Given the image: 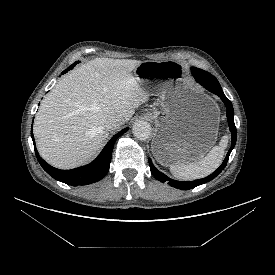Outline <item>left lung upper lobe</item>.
I'll return each mask as SVG.
<instances>
[{
	"label": "left lung upper lobe",
	"mask_w": 275,
	"mask_h": 275,
	"mask_svg": "<svg viewBox=\"0 0 275 275\" xmlns=\"http://www.w3.org/2000/svg\"><path fill=\"white\" fill-rule=\"evenodd\" d=\"M215 83L217 84V86H220L219 82L217 81V79L215 80Z\"/></svg>",
	"instance_id": "5c2ea615"
}]
</instances>
